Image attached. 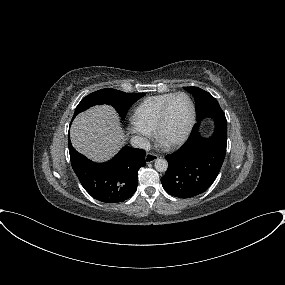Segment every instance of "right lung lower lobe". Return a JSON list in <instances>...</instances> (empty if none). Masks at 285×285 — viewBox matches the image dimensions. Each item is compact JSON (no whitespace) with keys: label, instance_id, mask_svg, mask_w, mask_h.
Returning a JSON list of instances; mask_svg holds the SVG:
<instances>
[{"label":"right lung lower lobe","instance_id":"1","mask_svg":"<svg viewBox=\"0 0 285 285\" xmlns=\"http://www.w3.org/2000/svg\"><path fill=\"white\" fill-rule=\"evenodd\" d=\"M68 144L72 168L93 198L118 203L134 194L138 170L146 164L144 150L124 147L112 160L95 163L77 152L70 141Z\"/></svg>","mask_w":285,"mask_h":285}]
</instances>
